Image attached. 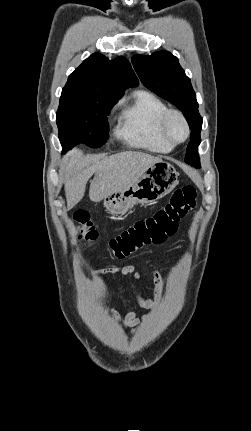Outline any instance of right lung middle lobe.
<instances>
[{"label":"right lung middle lobe","instance_id":"dd1d6c3e","mask_svg":"<svg viewBox=\"0 0 251 431\" xmlns=\"http://www.w3.org/2000/svg\"><path fill=\"white\" fill-rule=\"evenodd\" d=\"M118 99L100 92L64 87L56 117L63 152L80 143L95 148L102 146L109 131L108 115Z\"/></svg>","mask_w":251,"mask_h":431}]
</instances>
